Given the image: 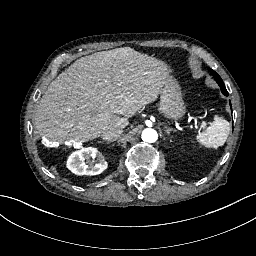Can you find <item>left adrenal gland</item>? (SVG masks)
I'll return each mask as SVG.
<instances>
[{
	"instance_id": "obj_1",
	"label": "left adrenal gland",
	"mask_w": 256,
	"mask_h": 256,
	"mask_svg": "<svg viewBox=\"0 0 256 256\" xmlns=\"http://www.w3.org/2000/svg\"><path fill=\"white\" fill-rule=\"evenodd\" d=\"M164 131L168 134V136L171 135V132H177L176 130L166 126L164 127Z\"/></svg>"
}]
</instances>
